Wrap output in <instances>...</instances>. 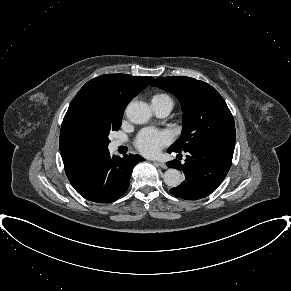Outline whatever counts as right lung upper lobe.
<instances>
[{"instance_id": "obj_1", "label": "right lung upper lobe", "mask_w": 291, "mask_h": 291, "mask_svg": "<svg viewBox=\"0 0 291 291\" xmlns=\"http://www.w3.org/2000/svg\"><path fill=\"white\" fill-rule=\"evenodd\" d=\"M153 77L106 74L88 81L72 100L62 122L59 147L68 179L98 155L76 149L69 142L74 125L83 118L122 114L133 97L146 88Z\"/></svg>"}]
</instances>
